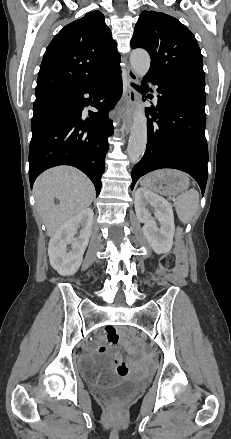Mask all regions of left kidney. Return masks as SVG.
<instances>
[{"instance_id":"left-kidney-1","label":"left kidney","mask_w":231,"mask_h":439,"mask_svg":"<svg viewBox=\"0 0 231 439\" xmlns=\"http://www.w3.org/2000/svg\"><path fill=\"white\" fill-rule=\"evenodd\" d=\"M135 212L139 222L144 223L143 234L157 254L168 253L173 245L175 232L174 215L170 204L150 190L140 187L135 192ZM154 209V218L147 206ZM158 220L160 227L157 226Z\"/></svg>"}]
</instances>
